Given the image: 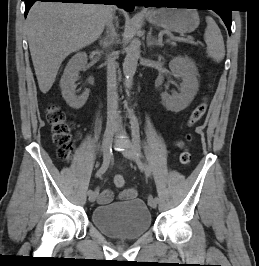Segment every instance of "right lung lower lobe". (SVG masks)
<instances>
[{
    "label": "right lung lower lobe",
    "mask_w": 259,
    "mask_h": 266,
    "mask_svg": "<svg viewBox=\"0 0 259 266\" xmlns=\"http://www.w3.org/2000/svg\"><path fill=\"white\" fill-rule=\"evenodd\" d=\"M25 1V16L36 1L42 2H62V3H84V4H114L124 8L126 11H132L135 4L131 0H22Z\"/></svg>",
    "instance_id": "right-lung-lower-lobe-1"
}]
</instances>
